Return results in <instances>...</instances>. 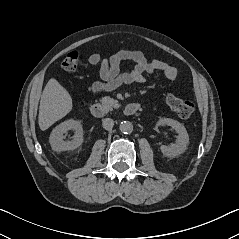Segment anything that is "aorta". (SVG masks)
<instances>
[{
	"instance_id": "1",
	"label": "aorta",
	"mask_w": 239,
	"mask_h": 239,
	"mask_svg": "<svg viewBox=\"0 0 239 239\" xmlns=\"http://www.w3.org/2000/svg\"><path fill=\"white\" fill-rule=\"evenodd\" d=\"M119 129L124 134H130L133 131V125L130 121H122L120 123Z\"/></svg>"
}]
</instances>
